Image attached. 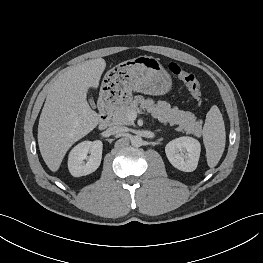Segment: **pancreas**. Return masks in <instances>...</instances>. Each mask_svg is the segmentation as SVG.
Listing matches in <instances>:
<instances>
[{
    "instance_id": "1",
    "label": "pancreas",
    "mask_w": 263,
    "mask_h": 263,
    "mask_svg": "<svg viewBox=\"0 0 263 263\" xmlns=\"http://www.w3.org/2000/svg\"><path fill=\"white\" fill-rule=\"evenodd\" d=\"M139 104L140 107H138ZM141 109H146L153 118L163 124L178 125L179 131L183 130L196 137L202 135L203 121L197 120L193 113L179 110L177 107L171 108L170 104L165 101H158L155 104L152 99H144L142 96H136L129 104L114 111L112 121L116 125H133L134 121L129 119V114L139 113Z\"/></svg>"
}]
</instances>
